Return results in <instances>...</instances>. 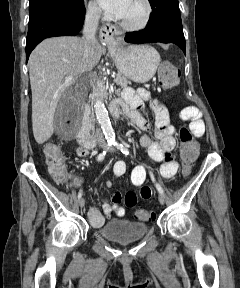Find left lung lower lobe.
Masks as SVG:
<instances>
[{
  "label": "left lung lower lobe",
  "instance_id": "1",
  "mask_svg": "<svg viewBox=\"0 0 240 288\" xmlns=\"http://www.w3.org/2000/svg\"><path fill=\"white\" fill-rule=\"evenodd\" d=\"M128 43H175L185 53V38L183 34L179 11L163 8L153 14L144 30L128 32L125 37Z\"/></svg>",
  "mask_w": 240,
  "mask_h": 288
}]
</instances>
